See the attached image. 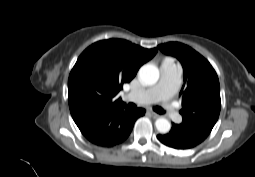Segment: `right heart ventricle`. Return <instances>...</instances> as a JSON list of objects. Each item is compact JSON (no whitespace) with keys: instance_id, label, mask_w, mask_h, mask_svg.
<instances>
[{"instance_id":"e07e8e85","label":"right heart ventricle","mask_w":255,"mask_h":177,"mask_svg":"<svg viewBox=\"0 0 255 177\" xmlns=\"http://www.w3.org/2000/svg\"><path fill=\"white\" fill-rule=\"evenodd\" d=\"M162 66H173L178 67L175 61L172 58H166L162 62Z\"/></svg>"}]
</instances>
